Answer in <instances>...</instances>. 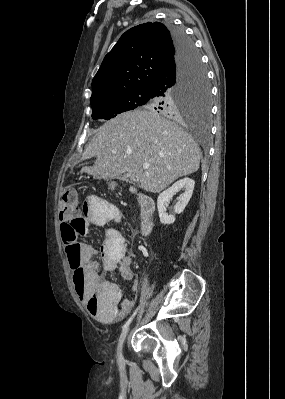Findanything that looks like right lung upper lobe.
Instances as JSON below:
<instances>
[{
    "mask_svg": "<svg viewBox=\"0 0 285 399\" xmlns=\"http://www.w3.org/2000/svg\"><path fill=\"white\" fill-rule=\"evenodd\" d=\"M175 55L172 34L164 24L147 22L129 29L105 56L92 81L90 100L150 88Z\"/></svg>",
    "mask_w": 285,
    "mask_h": 399,
    "instance_id": "right-lung-upper-lobe-1",
    "label": "right lung upper lobe"
}]
</instances>
